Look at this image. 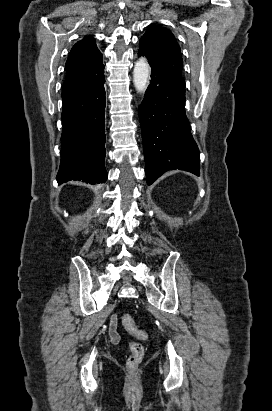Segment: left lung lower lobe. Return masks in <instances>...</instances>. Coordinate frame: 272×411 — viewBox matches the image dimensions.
<instances>
[{
    "mask_svg": "<svg viewBox=\"0 0 272 411\" xmlns=\"http://www.w3.org/2000/svg\"><path fill=\"white\" fill-rule=\"evenodd\" d=\"M150 66L151 84L138 109L147 184L173 169L199 175V149L184 108L185 84Z\"/></svg>",
    "mask_w": 272,
    "mask_h": 411,
    "instance_id": "obj_1",
    "label": "left lung lower lobe"
}]
</instances>
